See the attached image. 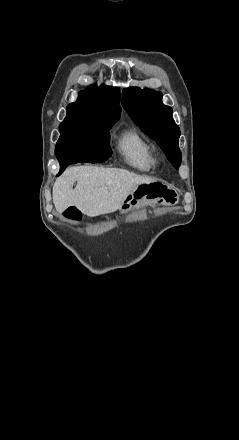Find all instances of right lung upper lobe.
Returning <instances> with one entry per match:
<instances>
[{
	"label": "right lung upper lobe",
	"instance_id": "right-lung-upper-lobe-1",
	"mask_svg": "<svg viewBox=\"0 0 239 440\" xmlns=\"http://www.w3.org/2000/svg\"><path fill=\"white\" fill-rule=\"evenodd\" d=\"M120 90L111 86H89L81 91L76 102L67 106V114L83 118H101L117 121L121 108Z\"/></svg>",
	"mask_w": 239,
	"mask_h": 440
}]
</instances>
